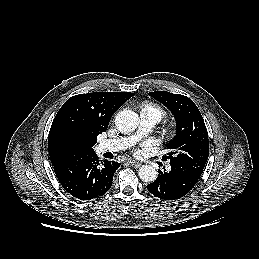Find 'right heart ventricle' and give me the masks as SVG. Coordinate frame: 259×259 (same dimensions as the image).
<instances>
[{"label": "right heart ventricle", "instance_id": "obj_1", "mask_svg": "<svg viewBox=\"0 0 259 259\" xmlns=\"http://www.w3.org/2000/svg\"><path fill=\"white\" fill-rule=\"evenodd\" d=\"M142 111H147L156 114L159 120L166 115V111L160 105L153 102L144 103Z\"/></svg>", "mask_w": 259, "mask_h": 259}]
</instances>
